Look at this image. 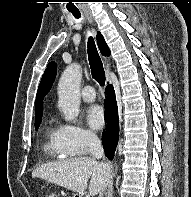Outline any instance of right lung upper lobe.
I'll return each mask as SVG.
<instances>
[{"mask_svg": "<svg viewBox=\"0 0 191 197\" xmlns=\"http://www.w3.org/2000/svg\"><path fill=\"white\" fill-rule=\"evenodd\" d=\"M97 45L102 53V55L109 56L110 50L107 46L103 36L100 32L97 33ZM56 77V64L51 62L47 65V68L42 76L41 82L38 87L36 101H35V123L40 122L43 112V99L45 95L49 92L54 79Z\"/></svg>", "mask_w": 191, "mask_h": 197, "instance_id": "cb5924a9", "label": "right lung upper lobe"}]
</instances>
